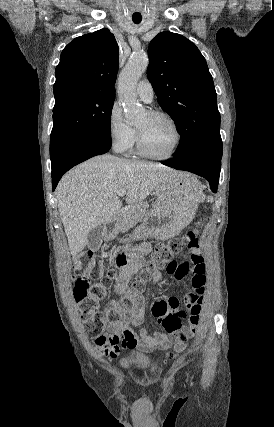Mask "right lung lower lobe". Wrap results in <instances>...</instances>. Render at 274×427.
I'll return each instance as SVG.
<instances>
[{"label": "right lung lower lobe", "instance_id": "98d812e1", "mask_svg": "<svg viewBox=\"0 0 274 427\" xmlns=\"http://www.w3.org/2000/svg\"><path fill=\"white\" fill-rule=\"evenodd\" d=\"M110 147L111 138L89 137L64 148L51 160L53 191L62 175L70 168L88 158L108 152Z\"/></svg>", "mask_w": 274, "mask_h": 427}]
</instances>
